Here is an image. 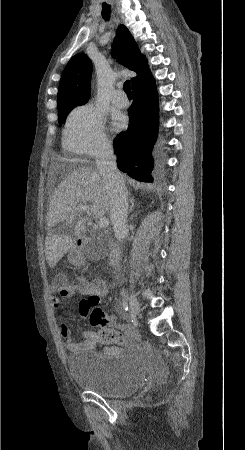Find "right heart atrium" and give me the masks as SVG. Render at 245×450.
<instances>
[{
	"label": "right heart atrium",
	"mask_w": 245,
	"mask_h": 450,
	"mask_svg": "<svg viewBox=\"0 0 245 450\" xmlns=\"http://www.w3.org/2000/svg\"><path fill=\"white\" fill-rule=\"evenodd\" d=\"M63 147L80 157L96 156L110 147L104 116L92 104L71 111L63 131Z\"/></svg>",
	"instance_id": "obj_1"
}]
</instances>
